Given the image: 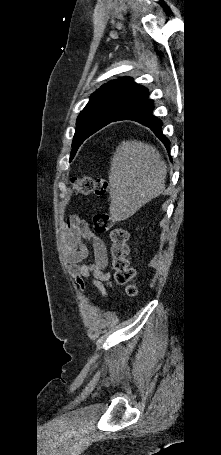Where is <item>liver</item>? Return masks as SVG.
Returning <instances> with one entry per match:
<instances>
[{
    "label": "liver",
    "mask_w": 221,
    "mask_h": 455,
    "mask_svg": "<svg viewBox=\"0 0 221 455\" xmlns=\"http://www.w3.org/2000/svg\"><path fill=\"white\" fill-rule=\"evenodd\" d=\"M167 165L150 144L137 140L121 142L111 159L110 215L126 220L165 190Z\"/></svg>",
    "instance_id": "obj_1"
}]
</instances>
